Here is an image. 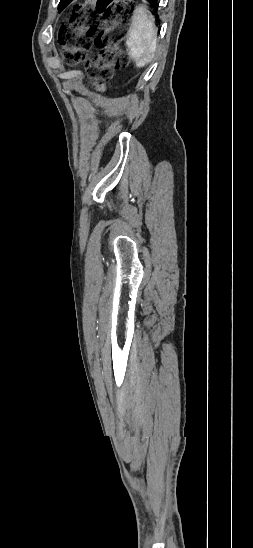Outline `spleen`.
I'll return each instance as SVG.
<instances>
[{"label":"spleen","mask_w":253,"mask_h":548,"mask_svg":"<svg viewBox=\"0 0 253 548\" xmlns=\"http://www.w3.org/2000/svg\"><path fill=\"white\" fill-rule=\"evenodd\" d=\"M126 45L130 49L129 56L138 68L149 64L154 57L157 47V28L153 15L143 5L134 11Z\"/></svg>","instance_id":"spleen-1"}]
</instances>
